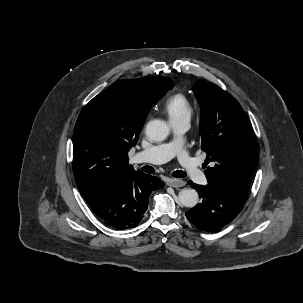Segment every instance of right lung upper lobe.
Wrapping results in <instances>:
<instances>
[{
	"mask_svg": "<svg viewBox=\"0 0 303 303\" xmlns=\"http://www.w3.org/2000/svg\"><path fill=\"white\" fill-rule=\"evenodd\" d=\"M173 85L166 77L119 80L83 108L74 128L73 153L76 184L87 203L135 172L128 151L150 108Z\"/></svg>",
	"mask_w": 303,
	"mask_h": 303,
	"instance_id": "1",
	"label": "right lung upper lobe"
}]
</instances>
